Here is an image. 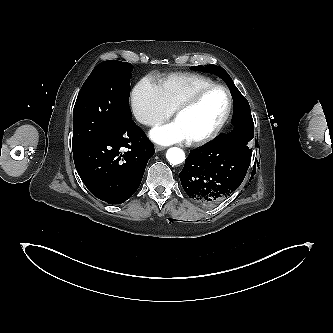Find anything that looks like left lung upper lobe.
Masks as SVG:
<instances>
[{
  "mask_svg": "<svg viewBox=\"0 0 333 333\" xmlns=\"http://www.w3.org/2000/svg\"><path fill=\"white\" fill-rule=\"evenodd\" d=\"M191 69L196 70V71H203V72H209V73L216 74L217 76H219L220 78H222L225 81V83L227 84V86L229 87V89L231 91L234 101L240 100V101H244L246 104L248 103L247 100L243 97V95L234 85L231 77L228 75V73L223 68L216 66V65H207V67L204 68L203 66L199 65V66H193V67H191ZM219 136H221V135H219ZM244 149L250 155L252 154V150L249 149L247 146H245Z\"/></svg>",
  "mask_w": 333,
  "mask_h": 333,
  "instance_id": "5c2ea615",
  "label": "left lung upper lobe"
}]
</instances>
